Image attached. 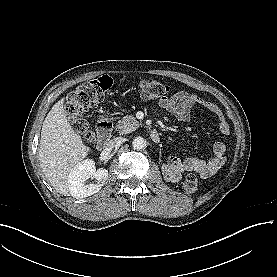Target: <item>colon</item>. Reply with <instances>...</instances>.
Here are the masks:
<instances>
[{"instance_id":"colon-1","label":"colon","mask_w":277,"mask_h":277,"mask_svg":"<svg viewBox=\"0 0 277 277\" xmlns=\"http://www.w3.org/2000/svg\"><path fill=\"white\" fill-rule=\"evenodd\" d=\"M112 85V79L103 76L78 86L68 96L66 112L71 119L72 126L88 142H91L94 137L83 114L90 108L98 106L104 100ZM140 92L147 99H162L169 93V87L159 81L144 80L140 84ZM196 189L197 180L192 176L187 177L183 184V191L191 194Z\"/></svg>"}]
</instances>
